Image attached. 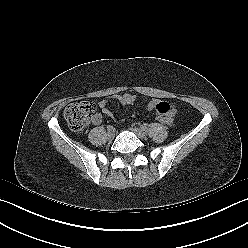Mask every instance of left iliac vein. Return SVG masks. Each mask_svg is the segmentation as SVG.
<instances>
[{
	"instance_id": "left-iliac-vein-1",
	"label": "left iliac vein",
	"mask_w": 248,
	"mask_h": 248,
	"mask_svg": "<svg viewBox=\"0 0 248 248\" xmlns=\"http://www.w3.org/2000/svg\"><path fill=\"white\" fill-rule=\"evenodd\" d=\"M139 138L141 139H144L146 138V133L142 130V129H139V128H130Z\"/></svg>"
}]
</instances>
